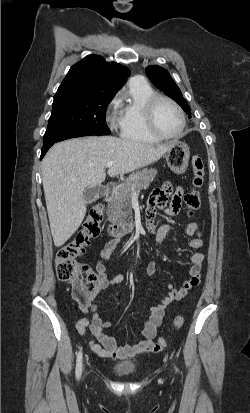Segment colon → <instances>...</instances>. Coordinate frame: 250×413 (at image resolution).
Instances as JSON below:
<instances>
[{
    "label": "colon",
    "instance_id": "obj_1",
    "mask_svg": "<svg viewBox=\"0 0 250 413\" xmlns=\"http://www.w3.org/2000/svg\"><path fill=\"white\" fill-rule=\"evenodd\" d=\"M192 167V188L184 196V203L189 216H192L193 212L200 206V188L204 181V164L199 156L192 158ZM102 215L101 205L92 207L87 219L79 227L72 240L61 247L56 255L57 276L62 281L72 283L73 296L81 306L89 302L90 295L95 288L96 274L86 265L78 262L77 259L84 253L91 239L99 235ZM183 323V316H176L173 321V329L179 330ZM167 344L168 339L160 337L156 342V347L161 350Z\"/></svg>",
    "mask_w": 250,
    "mask_h": 413
}]
</instances>
